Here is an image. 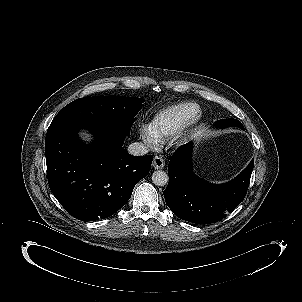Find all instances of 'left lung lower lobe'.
I'll use <instances>...</instances> for the list:
<instances>
[{
  "mask_svg": "<svg viewBox=\"0 0 302 302\" xmlns=\"http://www.w3.org/2000/svg\"><path fill=\"white\" fill-rule=\"evenodd\" d=\"M192 143L180 146L168 166L169 183L164 190L166 204L179 218L197 223H215L232 212L246 195L254 159L233 180L219 185L193 174Z\"/></svg>",
  "mask_w": 302,
  "mask_h": 302,
  "instance_id": "0a47b994",
  "label": "left lung lower lobe"
}]
</instances>
